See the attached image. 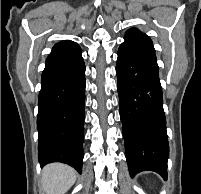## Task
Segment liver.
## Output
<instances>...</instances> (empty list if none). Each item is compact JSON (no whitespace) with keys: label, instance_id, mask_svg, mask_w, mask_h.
<instances>
[{"label":"liver","instance_id":"6515ba94","mask_svg":"<svg viewBox=\"0 0 201 194\" xmlns=\"http://www.w3.org/2000/svg\"><path fill=\"white\" fill-rule=\"evenodd\" d=\"M76 172L71 167L53 163L42 171V188L47 194H65L75 183Z\"/></svg>","mask_w":201,"mask_h":194}]
</instances>
